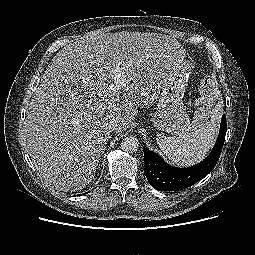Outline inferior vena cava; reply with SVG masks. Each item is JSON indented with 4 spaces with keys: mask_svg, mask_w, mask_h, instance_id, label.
Segmentation results:
<instances>
[{
    "mask_svg": "<svg viewBox=\"0 0 255 255\" xmlns=\"http://www.w3.org/2000/svg\"><path fill=\"white\" fill-rule=\"evenodd\" d=\"M118 126L119 122L116 119H112L109 121L107 128L109 131H116Z\"/></svg>",
    "mask_w": 255,
    "mask_h": 255,
    "instance_id": "602c4592",
    "label": "inferior vena cava"
}]
</instances>
